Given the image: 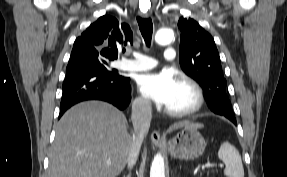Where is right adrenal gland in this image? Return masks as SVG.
<instances>
[{"label": "right adrenal gland", "mask_w": 287, "mask_h": 177, "mask_svg": "<svg viewBox=\"0 0 287 177\" xmlns=\"http://www.w3.org/2000/svg\"><path fill=\"white\" fill-rule=\"evenodd\" d=\"M124 177H131V173H128V175H127V176H124Z\"/></svg>", "instance_id": "1"}]
</instances>
